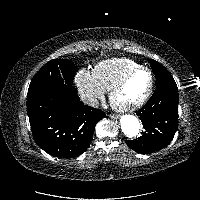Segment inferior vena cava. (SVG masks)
<instances>
[{
    "label": "inferior vena cava",
    "mask_w": 200,
    "mask_h": 200,
    "mask_svg": "<svg viewBox=\"0 0 200 200\" xmlns=\"http://www.w3.org/2000/svg\"><path fill=\"white\" fill-rule=\"evenodd\" d=\"M81 100L88 106L97 108L99 106V102L97 100V98L93 97V96H81Z\"/></svg>",
    "instance_id": "1"
}]
</instances>
